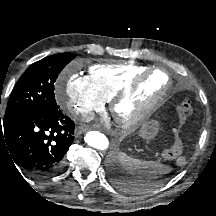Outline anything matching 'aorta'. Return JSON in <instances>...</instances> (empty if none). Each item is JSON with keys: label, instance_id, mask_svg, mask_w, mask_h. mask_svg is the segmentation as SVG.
Listing matches in <instances>:
<instances>
[{"label": "aorta", "instance_id": "obj_1", "mask_svg": "<svg viewBox=\"0 0 216 216\" xmlns=\"http://www.w3.org/2000/svg\"><path fill=\"white\" fill-rule=\"evenodd\" d=\"M84 140L89 146L98 150H106L109 147L108 138L98 131L87 132Z\"/></svg>", "mask_w": 216, "mask_h": 216}]
</instances>
